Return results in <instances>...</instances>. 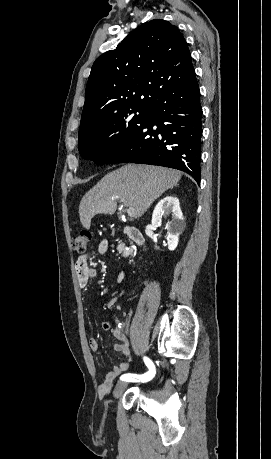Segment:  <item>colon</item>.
<instances>
[{
    "label": "colon",
    "mask_w": 271,
    "mask_h": 459,
    "mask_svg": "<svg viewBox=\"0 0 271 459\" xmlns=\"http://www.w3.org/2000/svg\"><path fill=\"white\" fill-rule=\"evenodd\" d=\"M91 240V233L87 230H81L72 238V247L78 253H84L88 243Z\"/></svg>",
    "instance_id": "obj_1"
}]
</instances>
